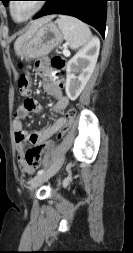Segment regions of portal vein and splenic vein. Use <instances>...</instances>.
I'll list each match as a JSON object with an SVG mask.
<instances>
[{
    "label": "portal vein and splenic vein",
    "mask_w": 133,
    "mask_h": 253,
    "mask_svg": "<svg viewBox=\"0 0 133 253\" xmlns=\"http://www.w3.org/2000/svg\"><path fill=\"white\" fill-rule=\"evenodd\" d=\"M63 54H64L65 56H69V55H70V52H69V50H68L67 48H64Z\"/></svg>",
    "instance_id": "18ae733b"
}]
</instances>
